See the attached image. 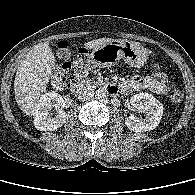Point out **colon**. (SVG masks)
I'll return each instance as SVG.
<instances>
[{
    "label": "colon",
    "mask_w": 195,
    "mask_h": 195,
    "mask_svg": "<svg viewBox=\"0 0 195 195\" xmlns=\"http://www.w3.org/2000/svg\"><path fill=\"white\" fill-rule=\"evenodd\" d=\"M88 65V54L87 52H82L76 61L58 66L54 70L52 76L54 85L59 88L74 85L82 76L85 75ZM153 77L160 81H167V75L161 69L158 61L154 63ZM170 97L174 102H181L183 99V92L181 90L174 89L171 91Z\"/></svg>",
    "instance_id": "colon-1"
}]
</instances>
